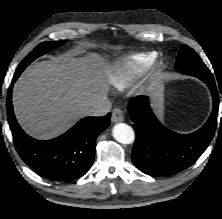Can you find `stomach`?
<instances>
[{
    "mask_svg": "<svg viewBox=\"0 0 222 219\" xmlns=\"http://www.w3.org/2000/svg\"><path fill=\"white\" fill-rule=\"evenodd\" d=\"M152 96L155 103L161 102L166 96L164 88L159 87L155 92L152 93Z\"/></svg>",
    "mask_w": 222,
    "mask_h": 219,
    "instance_id": "obj_1",
    "label": "stomach"
}]
</instances>
